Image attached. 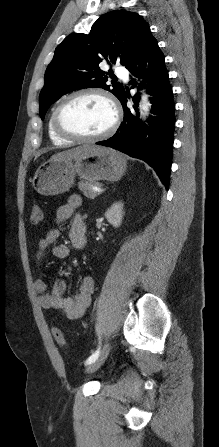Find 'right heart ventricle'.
I'll list each match as a JSON object with an SVG mask.
<instances>
[{
    "label": "right heart ventricle",
    "mask_w": 219,
    "mask_h": 447,
    "mask_svg": "<svg viewBox=\"0 0 219 447\" xmlns=\"http://www.w3.org/2000/svg\"><path fill=\"white\" fill-rule=\"evenodd\" d=\"M52 116H53V111L51 112L48 122H47V132H48L49 139L55 144H64V143L72 142V140L63 138L62 136H60L56 133V131L53 128Z\"/></svg>",
    "instance_id": "obj_1"
}]
</instances>
